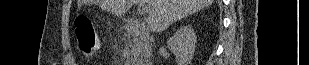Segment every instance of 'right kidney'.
I'll return each instance as SVG.
<instances>
[{
    "mask_svg": "<svg viewBox=\"0 0 309 65\" xmlns=\"http://www.w3.org/2000/svg\"><path fill=\"white\" fill-rule=\"evenodd\" d=\"M196 47V35L190 26H181L168 40V49L175 55L177 65H189Z\"/></svg>",
    "mask_w": 309,
    "mask_h": 65,
    "instance_id": "1",
    "label": "right kidney"
}]
</instances>
